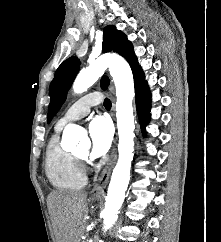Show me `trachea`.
I'll return each instance as SVG.
<instances>
[{
    "label": "trachea",
    "instance_id": "1",
    "mask_svg": "<svg viewBox=\"0 0 221 242\" xmlns=\"http://www.w3.org/2000/svg\"><path fill=\"white\" fill-rule=\"evenodd\" d=\"M111 106H112L111 101H110L108 98H106V99L104 100V107H105L106 109H110Z\"/></svg>",
    "mask_w": 221,
    "mask_h": 242
}]
</instances>
